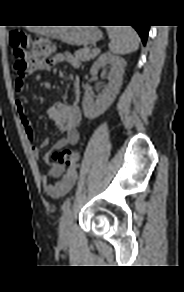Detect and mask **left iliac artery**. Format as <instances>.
I'll return each instance as SVG.
<instances>
[{"instance_id":"obj_1","label":"left iliac artery","mask_w":184,"mask_h":292,"mask_svg":"<svg viewBox=\"0 0 184 292\" xmlns=\"http://www.w3.org/2000/svg\"><path fill=\"white\" fill-rule=\"evenodd\" d=\"M70 205H71V202H70V200H67L64 204H63V211L64 212H68L69 211V209H70Z\"/></svg>"}]
</instances>
